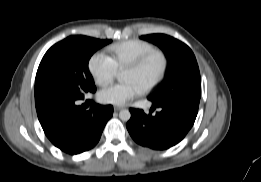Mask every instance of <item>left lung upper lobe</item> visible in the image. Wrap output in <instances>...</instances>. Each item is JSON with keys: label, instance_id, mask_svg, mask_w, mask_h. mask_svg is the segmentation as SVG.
Here are the masks:
<instances>
[{"label": "left lung upper lobe", "instance_id": "left-lung-upper-lobe-1", "mask_svg": "<svg viewBox=\"0 0 261 182\" xmlns=\"http://www.w3.org/2000/svg\"><path fill=\"white\" fill-rule=\"evenodd\" d=\"M141 39L158 45L168 59L165 80L149 97L154 104H164L189 95L201 96V78L196 58L181 41L164 34L143 35Z\"/></svg>", "mask_w": 261, "mask_h": 182}]
</instances>
